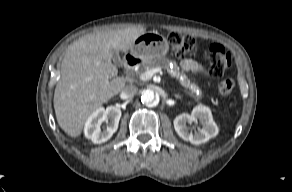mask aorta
Here are the masks:
<instances>
[{
	"instance_id": "1",
	"label": "aorta",
	"mask_w": 292,
	"mask_h": 192,
	"mask_svg": "<svg viewBox=\"0 0 292 192\" xmlns=\"http://www.w3.org/2000/svg\"><path fill=\"white\" fill-rule=\"evenodd\" d=\"M141 101L147 107H155L159 103V96L153 90L147 89L143 91Z\"/></svg>"
}]
</instances>
